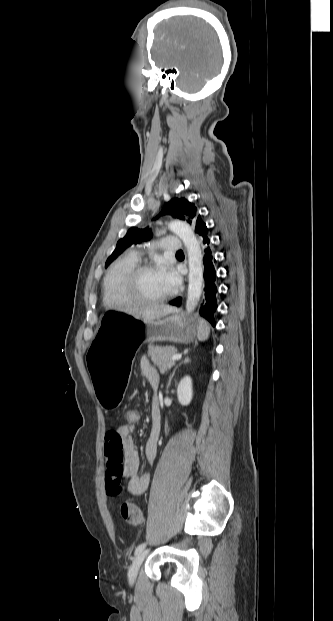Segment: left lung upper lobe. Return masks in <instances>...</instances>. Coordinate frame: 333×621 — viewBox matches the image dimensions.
<instances>
[{
	"instance_id": "5c2ea615",
	"label": "left lung upper lobe",
	"mask_w": 333,
	"mask_h": 621,
	"mask_svg": "<svg viewBox=\"0 0 333 621\" xmlns=\"http://www.w3.org/2000/svg\"><path fill=\"white\" fill-rule=\"evenodd\" d=\"M162 215H171L175 218H179L192 225L195 230L201 228L205 223L197 213V207L194 203H190L184 197H175L167 202L161 213L155 218ZM151 238V231L148 227L144 229H138L132 227L128 230L127 234L117 242L114 252L109 256L105 263V267H108L126 248L132 244L146 241Z\"/></svg>"
}]
</instances>
